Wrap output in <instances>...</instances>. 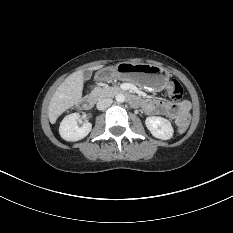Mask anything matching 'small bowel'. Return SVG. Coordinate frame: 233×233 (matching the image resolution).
<instances>
[{"label":"small bowel","mask_w":233,"mask_h":233,"mask_svg":"<svg viewBox=\"0 0 233 233\" xmlns=\"http://www.w3.org/2000/svg\"><path fill=\"white\" fill-rule=\"evenodd\" d=\"M143 109L150 115H165L174 120L178 127L188 125L189 113L191 106L189 102H182L180 104H173L166 100L160 99H146L142 103Z\"/></svg>","instance_id":"c3829d8e"}]
</instances>
